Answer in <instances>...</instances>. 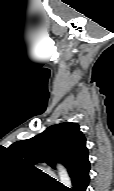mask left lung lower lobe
Returning a JSON list of instances; mask_svg holds the SVG:
<instances>
[{
  "mask_svg": "<svg viewBox=\"0 0 114 191\" xmlns=\"http://www.w3.org/2000/svg\"><path fill=\"white\" fill-rule=\"evenodd\" d=\"M90 163L87 160L71 176L72 188L62 187L63 191H86L89 184Z\"/></svg>",
  "mask_w": 114,
  "mask_h": 191,
  "instance_id": "1",
  "label": "left lung lower lobe"
}]
</instances>
